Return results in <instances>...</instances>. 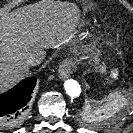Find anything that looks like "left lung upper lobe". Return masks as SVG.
Here are the masks:
<instances>
[{"instance_id":"obj_1","label":"left lung upper lobe","mask_w":133,"mask_h":133,"mask_svg":"<svg viewBox=\"0 0 133 133\" xmlns=\"http://www.w3.org/2000/svg\"><path fill=\"white\" fill-rule=\"evenodd\" d=\"M96 113L97 111H94L93 109H90L89 107H84V109L82 110L79 116V121L82 122L83 124L94 126L100 123L98 122L99 120H104L107 116L106 112L104 116H103V113L101 115H98Z\"/></svg>"}]
</instances>
